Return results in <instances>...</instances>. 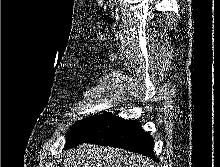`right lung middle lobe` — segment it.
<instances>
[{
  "label": "right lung middle lobe",
  "mask_w": 220,
  "mask_h": 167,
  "mask_svg": "<svg viewBox=\"0 0 220 167\" xmlns=\"http://www.w3.org/2000/svg\"><path fill=\"white\" fill-rule=\"evenodd\" d=\"M107 116V113L94 115L75 123L66 138L65 149L83 143Z\"/></svg>",
  "instance_id": "dd1d6c3e"
}]
</instances>
